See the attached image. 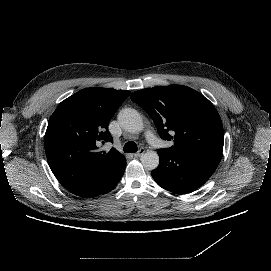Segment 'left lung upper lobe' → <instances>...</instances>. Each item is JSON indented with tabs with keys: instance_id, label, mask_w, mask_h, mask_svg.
<instances>
[{
	"instance_id": "1",
	"label": "left lung upper lobe",
	"mask_w": 271,
	"mask_h": 271,
	"mask_svg": "<svg viewBox=\"0 0 271 271\" xmlns=\"http://www.w3.org/2000/svg\"><path fill=\"white\" fill-rule=\"evenodd\" d=\"M131 100L152 118L162 139H173L170 149L222 156V121L213 104L199 92L170 85L136 91Z\"/></svg>"
}]
</instances>
